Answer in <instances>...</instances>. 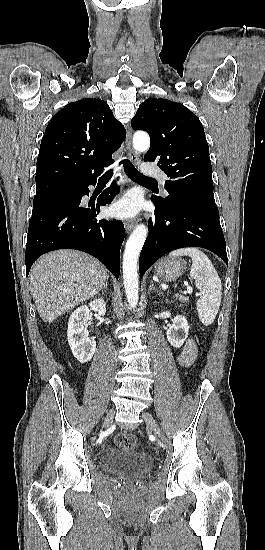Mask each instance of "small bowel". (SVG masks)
I'll return each instance as SVG.
<instances>
[{
	"label": "small bowel",
	"mask_w": 265,
	"mask_h": 550,
	"mask_svg": "<svg viewBox=\"0 0 265 550\" xmlns=\"http://www.w3.org/2000/svg\"><path fill=\"white\" fill-rule=\"evenodd\" d=\"M196 357H197L196 344L193 341V339L188 338L185 341L182 351L177 357V361L181 366L185 368H189L194 363Z\"/></svg>",
	"instance_id": "obj_1"
}]
</instances>
